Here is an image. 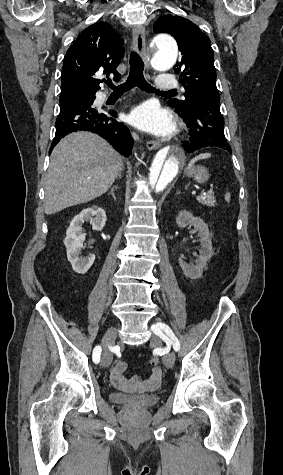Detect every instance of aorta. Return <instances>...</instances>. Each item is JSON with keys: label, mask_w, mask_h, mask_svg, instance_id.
I'll return each instance as SVG.
<instances>
[{"label": "aorta", "mask_w": 283, "mask_h": 475, "mask_svg": "<svg viewBox=\"0 0 283 475\" xmlns=\"http://www.w3.org/2000/svg\"><path fill=\"white\" fill-rule=\"evenodd\" d=\"M151 47L156 51L155 68L160 71L170 69L176 62L178 47L169 35L154 37ZM185 152L180 146H166L155 155L149 168L144 198L149 205L164 195L184 165ZM154 208V207H149Z\"/></svg>", "instance_id": "aorta-1"}]
</instances>
